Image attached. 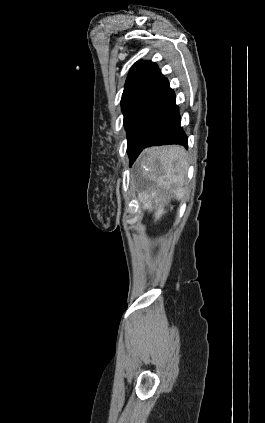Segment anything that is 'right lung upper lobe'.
Segmentation results:
<instances>
[{"label": "right lung upper lobe", "instance_id": "right-lung-upper-lobe-1", "mask_svg": "<svg viewBox=\"0 0 265 423\" xmlns=\"http://www.w3.org/2000/svg\"><path fill=\"white\" fill-rule=\"evenodd\" d=\"M164 79L158 66L151 61H138L131 68L122 95V100L132 96H147Z\"/></svg>", "mask_w": 265, "mask_h": 423}]
</instances>
